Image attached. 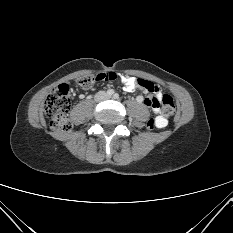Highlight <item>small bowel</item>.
Listing matches in <instances>:
<instances>
[{
    "mask_svg": "<svg viewBox=\"0 0 233 233\" xmlns=\"http://www.w3.org/2000/svg\"><path fill=\"white\" fill-rule=\"evenodd\" d=\"M95 78L99 82L102 80L103 81L108 80V81H112V82H115V81L120 82L121 81L124 84V89L128 92L133 91L136 88H141L138 84L139 78L131 77L130 75H123L120 73H112V72L111 73L110 72H108V73L103 72L101 74L100 73L97 74ZM142 90L145 93H148L145 89H142ZM154 96L159 103L161 101V98H162V93L160 92L159 89L154 93ZM137 101L139 103H144L147 106L153 107L154 113L156 114L155 123H156L157 128H164L167 126L168 120L165 117V115L161 112L159 104L156 106H153L151 104V98H145L141 95L137 97Z\"/></svg>",
    "mask_w": 233,
    "mask_h": 233,
    "instance_id": "c3829d8e",
    "label": "small bowel"
}]
</instances>
